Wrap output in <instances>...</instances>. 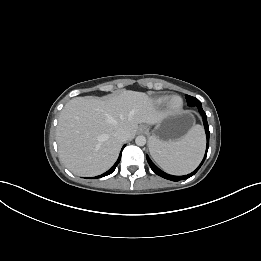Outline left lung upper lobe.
Segmentation results:
<instances>
[{
    "label": "left lung upper lobe",
    "mask_w": 261,
    "mask_h": 261,
    "mask_svg": "<svg viewBox=\"0 0 261 261\" xmlns=\"http://www.w3.org/2000/svg\"><path fill=\"white\" fill-rule=\"evenodd\" d=\"M185 97L189 106L202 107L201 102L197 98L189 95H185Z\"/></svg>",
    "instance_id": "obj_1"
}]
</instances>
